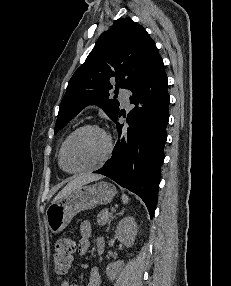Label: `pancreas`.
I'll use <instances>...</instances> for the list:
<instances>
[{"mask_svg":"<svg viewBox=\"0 0 231 286\" xmlns=\"http://www.w3.org/2000/svg\"><path fill=\"white\" fill-rule=\"evenodd\" d=\"M112 219V213L109 212L107 209H103L98 215H97V222L99 225H104L106 223H109Z\"/></svg>","mask_w":231,"mask_h":286,"instance_id":"1","label":"pancreas"}]
</instances>
